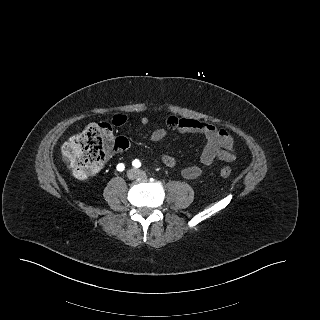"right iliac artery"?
I'll use <instances>...</instances> for the list:
<instances>
[{
  "label": "right iliac artery",
  "mask_w": 320,
  "mask_h": 320,
  "mask_svg": "<svg viewBox=\"0 0 320 320\" xmlns=\"http://www.w3.org/2000/svg\"><path fill=\"white\" fill-rule=\"evenodd\" d=\"M124 169H125V166H124L123 163H119V164L117 165V170H118V171H123Z\"/></svg>",
  "instance_id": "obj_1"
}]
</instances>
